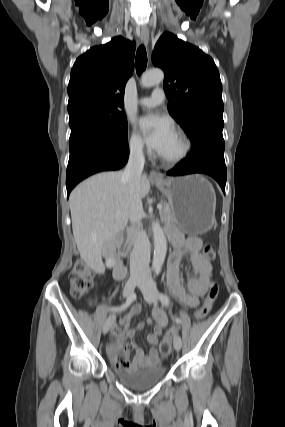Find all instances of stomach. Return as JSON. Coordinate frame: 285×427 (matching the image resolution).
Returning a JSON list of instances; mask_svg holds the SVG:
<instances>
[{"label":"stomach","mask_w":285,"mask_h":427,"mask_svg":"<svg viewBox=\"0 0 285 427\" xmlns=\"http://www.w3.org/2000/svg\"><path fill=\"white\" fill-rule=\"evenodd\" d=\"M167 197L173 223L187 234H203L214 223L216 195L211 183L201 175L168 178L156 182Z\"/></svg>","instance_id":"stomach-1"}]
</instances>
